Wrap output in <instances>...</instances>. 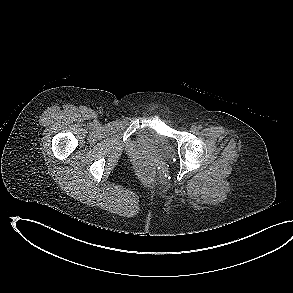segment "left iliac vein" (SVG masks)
<instances>
[{
    "label": "left iliac vein",
    "mask_w": 293,
    "mask_h": 293,
    "mask_svg": "<svg viewBox=\"0 0 293 293\" xmlns=\"http://www.w3.org/2000/svg\"><path fill=\"white\" fill-rule=\"evenodd\" d=\"M190 131L195 133L197 131V127L195 125H192Z\"/></svg>",
    "instance_id": "left-iliac-vein-1"
}]
</instances>
